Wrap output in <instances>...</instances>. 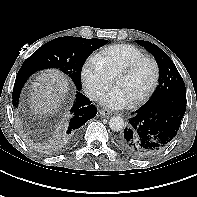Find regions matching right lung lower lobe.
Instances as JSON below:
<instances>
[{"instance_id": "98d812e1", "label": "right lung lower lobe", "mask_w": 197, "mask_h": 197, "mask_svg": "<svg viewBox=\"0 0 197 197\" xmlns=\"http://www.w3.org/2000/svg\"><path fill=\"white\" fill-rule=\"evenodd\" d=\"M36 70L30 68H21L16 76L12 102L14 106L18 105L20 92L28 77L35 73ZM88 98H86L80 91H77L76 99L71 107L70 113L66 120L60 125L58 131V138L63 142H72L79 130L89 119L95 117L97 109L91 104Z\"/></svg>"}]
</instances>
